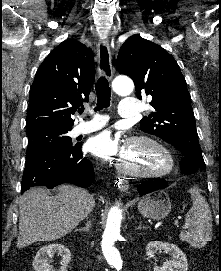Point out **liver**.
Here are the masks:
<instances>
[{"instance_id": "6515ba94", "label": "liver", "mask_w": 221, "mask_h": 271, "mask_svg": "<svg viewBox=\"0 0 221 271\" xmlns=\"http://www.w3.org/2000/svg\"><path fill=\"white\" fill-rule=\"evenodd\" d=\"M57 189V195H49L45 187H30L21 195L18 249L64 237L92 211L95 201L87 189L70 183Z\"/></svg>"}]
</instances>
